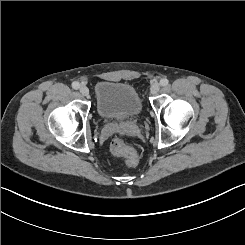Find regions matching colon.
<instances>
[{"instance_id": "obj_1", "label": "colon", "mask_w": 245, "mask_h": 245, "mask_svg": "<svg viewBox=\"0 0 245 245\" xmlns=\"http://www.w3.org/2000/svg\"><path fill=\"white\" fill-rule=\"evenodd\" d=\"M110 149L113 154L125 157L129 166L136 164L137 159L134 150L123 139L114 138L111 141Z\"/></svg>"}]
</instances>
